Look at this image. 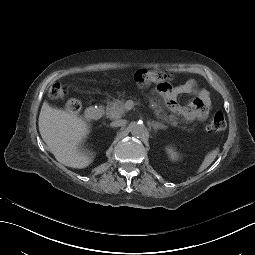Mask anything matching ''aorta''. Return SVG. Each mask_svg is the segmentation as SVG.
<instances>
[{
    "label": "aorta",
    "mask_w": 255,
    "mask_h": 255,
    "mask_svg": "<svg viewBox=\"0 0 255 255\" xmlns=\"http://www.w3.org/2000/svg\"><path fill=\"white\" fill-rule=\"evenodd\" d=\"M130 132L134 137H142L146 133V128L144 124L134 122L131 124Z\"/></svg>",
    "instance_id": "obj_1"
}]
</instances>
